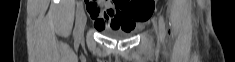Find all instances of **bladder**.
<instances>
[{
    "instance_id": "31cf9c89",
    "label": "bladder",
    "mask_w": 235,
    "mask_h": 62,
    "mask_svg": "<svg viewBox=\"0 0 235 62\" xmlns=\"http://www.w3.org/2000/svg\"><path fill=\"white\" fill-rule=\"evenodd\" d=\"M105 34L112 38L125 39L130 37L133 34V32L126 30H119V29H108L105 30Z\"/></svg>"
}]
</instances>
